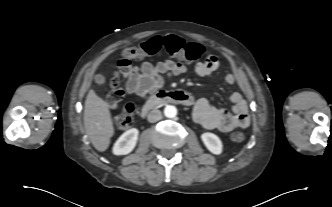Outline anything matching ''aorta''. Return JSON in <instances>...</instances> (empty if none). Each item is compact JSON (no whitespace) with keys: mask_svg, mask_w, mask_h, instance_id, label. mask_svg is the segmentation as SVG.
I'll return each mask as SVG.
<instances>
[{"mask_svg":"<svg viewBox=\"0 0 332 207\" xmlns=\"http://www.w3.org/2000/svg\"><path fill=\"white\" fill-rule=\"evenodd\" d=\"M164 115L168 118H174L177 115V109L173 105H167L164 109Z\"/></svg>","mask_w":332,"mask_h":207,"instance_id":"1","label":"aorta"}]
</instances>
